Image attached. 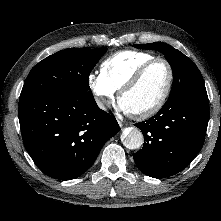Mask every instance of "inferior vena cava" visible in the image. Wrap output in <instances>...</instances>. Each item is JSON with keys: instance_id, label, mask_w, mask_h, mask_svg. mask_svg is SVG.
<instances>
[{"instance_id": "602c4592", "label": "inferior vena cava", "mask_w": 221, "mask_h": 221, "mask_svg": "<svg viewBox=\"0 0 221 221\" xmlns=\"http://www.w3.org/2000/svg\"><path fill=\"white\" fill-rule=\"evenodd\" d=\"M97 104L101 109H106V105L109 104V101L101 99V98H97Z\"/></svg>"}]
</instances>
